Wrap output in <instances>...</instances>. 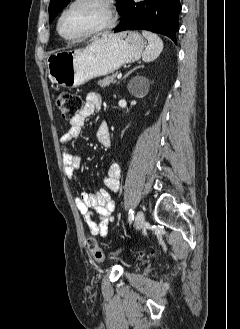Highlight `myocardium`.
Wrapping results in <instances>:
<instances>
[{"label": "myocardium", "mask_w": 240, "mask_h": 329, "mask_svg": "<svg viewBox=\"0 0 240 329\" xmlns=\"http://www.w3.org/2000/svg\"><path fill=\"white\" fill-rule=\"evenodd\" d=\"M84 1H86V0H72L59 13V16H58L57 21H56V30H57V33L59 34V36L61 38H63L64 40H66V41L74 42V41L83 40V39H86L88 37H91V36H94V35H97V34L104 33L106 31L112 29L116 25V22H117V14H116V9H115V5H114L113 0H94V1L98 2L99 4H101L105 8L106 13H107V22L105 24H103V25H101V26H99L97 28H94V29H92V30H90L88 32H85L83 34H80V35H77V36H74V37H67V36H65L61 32V29H60L61 21H62L64 15L73 6H75L78 3L84 2Z\"/></svg>", "instance_id": "obj_1"}]
</instances>
